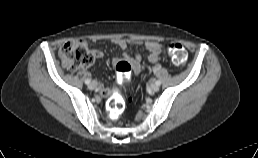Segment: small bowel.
<instances>
[{"label":"small bowel","instance_id":"small-bowel-1","mask_svg":"<svg viewBox=\"0 0 258 158\" xmlns=\"http://www.w3.org/2000/svg\"><path fill=\"white\" fill-rule=\"evenodd\" d=\"M113 44H115L117 47H119L122 51V60L127 61L134 74H139L143 68L144 65L141 63V55H135L133 57L129 56L127 49L129 46L130 41L123 38L114 39ZM139 43V42H135ZM144 49L148 53V59L151 63H158L163 55L164 47L163 45L158 41H146L143 43ZM94 55L97 58L103 57V52L101 50L95 49L93 50ZM120 61V60H119ZM118 62V61H117ZM116 62V63H117ZM96 87L98 88V94L102 97H107L111 94V91L104 87L103 83L100 80H96Z\"/></svg>","mask_w":258,"mask_h":158}]
</instances>
